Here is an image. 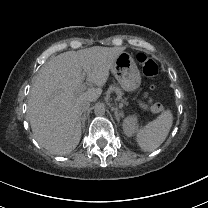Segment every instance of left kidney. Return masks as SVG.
<instances>
[{
	"label": "left kidney",
	"instance_id": "left-kidney-1",
	"mask_svg": "<svg viewBox=\"0 0 208 208\" xmlns=\"http://www.w3.org/2000/svg\"><path fill=\"white\" fill-rule=\"evenodd\" d=\"M136 123L137 122L135 116L128 117L124 120L123 129L126 135L131 136L134 133L137 127Z\"/></svg>",
	"mask_w": 208,
	"mask_h": 208
}]
</instances>
